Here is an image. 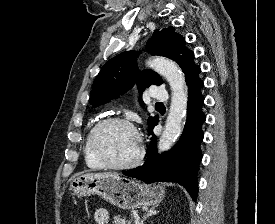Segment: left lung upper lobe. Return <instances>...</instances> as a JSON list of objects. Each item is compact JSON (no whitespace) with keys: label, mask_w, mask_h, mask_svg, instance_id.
<instances>
[{"label":"left lung upper lobe","mask_w":275,"mask_h":224,"mask_svg":"<svg viewBox=\"0 0 275 224\" xmlns=\"http://www.w3.org/2000/svg\"><path fill=\"white\" fill-rule=\"evenodd\" d=\"M147 50L152 55L170 58L178 63L187 80L197 69L194 53L185 46V38L174 31L173 27L155 30ZM138 53L123 52L110 59L96 77L91 91L90 103L93 107L109 102L111 99L130 89L136 82L139 92L152 84L161 85L162 79L152 70L138 71ZM158 121V115L148 118L149 128Z\"/></svg>","instance_id":"1"}]
</instances>
